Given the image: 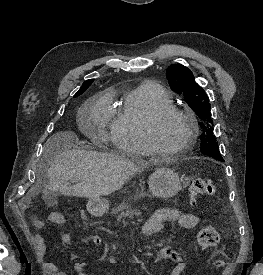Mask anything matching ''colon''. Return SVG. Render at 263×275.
I'll return each mask as SVG.
<instances>
[{
    "mask_svg": "<svg viewBox=\"0 0 263 275\" xmlns=\"http://www.w3.org/2000/svg\"><path fill=\"white\" fill-rule=\"evenodd\" d=\"M216 193V187L214 183L206 178L194 179L189 187V196L193 203L199 198L206 196H213ZM51 220L55 223L63 222L64 218L61 213H53ZM219 240L218 233L213 228L207 227L202 229L197 236V243L202 248H210L217 244ZM226 261L222 258H218L212 262V266L216 269L224 267Z\"/></svg>",
    "mask_w": 263,
    "mask_h": 275,
    "instance_id": "1",
    "label": "colon"
}]
</instances>
